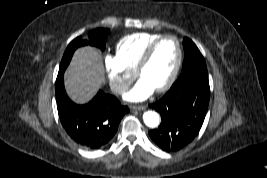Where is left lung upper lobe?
Listing matches in <instances>:
<instances>
[{
  "instance_id": "obj_1",
  "label": "left lung upper lobe",
  "mask_w": 267,
  "mask_h": 178,
  "mask_svg": "<svg viewBox=\"0 0 267 178\" xmlns=\"http://www.w3.org/2000/svg\"><path fill=\"white\" fill-rule=\"evenodd\" d=\"M183 47L185 52L182 73L177 82L187 79H202L208 81V73L205 60L197 46L189 39L184 38Z\"/></svg>"
}]
</instances>
